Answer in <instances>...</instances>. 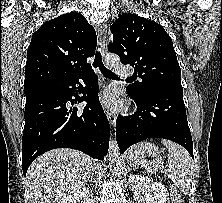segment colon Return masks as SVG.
Masks as SVG:
<instances>
[{"mask_svg": "<svg viewBox=\"0 0 222 203\" xmlns=\"http://www.w3.org/2000/svg\"><path fill=\"white\" fill-rule=\"evenodd\" d=\"M171 198L172 203H182L181 194L175 187L171 189Z\"/></svg>", "mask_w": 222, "mask_h": 203, "instance_id": "colon-1", "label": "colon"}]
</instances>
